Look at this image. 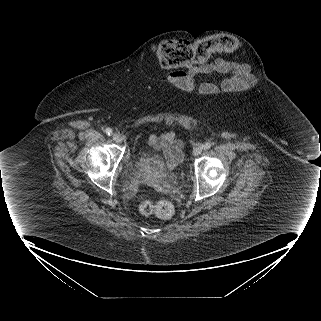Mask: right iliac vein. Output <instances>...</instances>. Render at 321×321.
Instances as JSON below:
<instances>
[{
    "mask_svg": "<svg viewBox=\"0 0 321 321\" xmlns=\"http://www.w3.org/2000/svg\"><path fill=\"white\" fill-rule=\"evenodd\" d=\"M113 140H114L116 143H122V137H121L119 134H114V135H113Z\"/></svg>",
    "mask_w": 321,
    "mask_h": 321,
    "instance_id": "right-iliac-vein-1",
    "label": "right iliac vein"
}]
</instances>
